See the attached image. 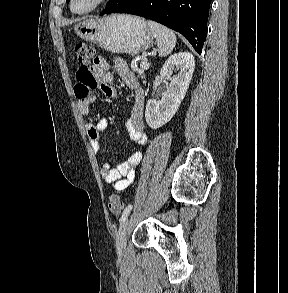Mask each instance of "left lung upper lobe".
I'll use <instances>...</instances> for the list:
<instances>
[{"label":"left lung upper lobe","instance_id":"5c2ea615","mask_svg":"<svg viewBox=\"0 0 288 293\" xmlns=\"http://www.w3.org/2000/svg\"><path fill=\"white\" fill-rule=\"evenodd\" d=\"M114 0H110L107 5L111 4ZM67 2H69V0H67Z\"/></svg>","mask_w":288,"mask_h":293}]
</instances>
